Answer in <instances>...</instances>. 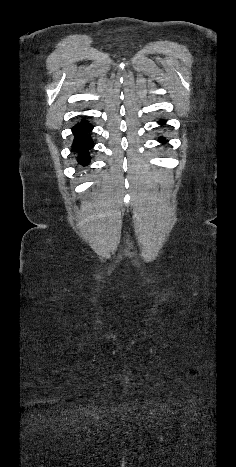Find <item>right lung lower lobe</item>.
<instances>
[{"label":"right lung lower lobe","instance_id":"obj_1","mask_svg":"<svg viewBox=\"0 0 236 467\" xmlns=\"http://www.w3.org/2000/svg\"><path fill=\"white\" fill-rule=\"evenodd\" d=\"M93 129L90 123L83 120L72 128L74 134L73 151L77 153L80 158L78 162L80 165H87L90 161L89 150L93 148V141L90 137V131Z\"/></svg>","mask_w":236,"mask_h":467}]
</instances>
